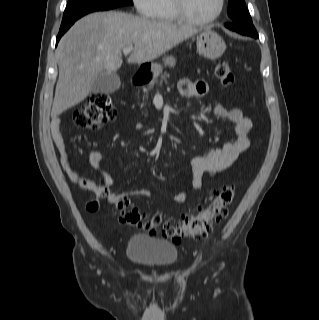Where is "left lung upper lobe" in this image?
<instances>
[{"mask_svg":"<svg viewBox=\"0 0 319 320\" xmlns=\"http://www.w3.org/2000/svg\"><path fill=\"white\" fill-rule=\"evenodd\" d=\"M228 15L232 19L233 24L255 29L251 16L245 5V0H228Z\"/></svg>","mask_w":319,"mask_h":320,"instance_id":"left-lung-upper-lobe-1","label":"left lung upper lobe"}]
</instances>
